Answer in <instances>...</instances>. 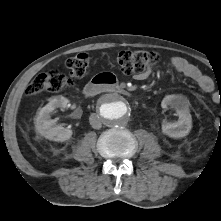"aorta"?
Returning a JSON list of instances; mask_svg holds the SVG:
<instances>
[{
    "mask_svg": "<svg viewBox=\"0 0 221 221\" xmlns=\"http://www.w3.org/2000/svg\"><path fill=\"white\" fill-rule=\"evenodd\" d=\"M130 113V103L119 94L107 95L100 101L99 116L108 126H119L126 123Z\"/></svg>",
    "mask_w": 221,
    "mask_h": 221,
    "instance_id": "762f6f07",
    "label": "aorta"
}]
</instances>
